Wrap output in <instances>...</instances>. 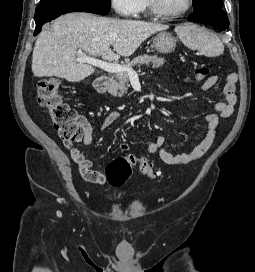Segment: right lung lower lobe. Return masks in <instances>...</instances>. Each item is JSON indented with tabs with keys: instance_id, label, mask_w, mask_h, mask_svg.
<instances>
[{
	"instance_id": "right-lung-lower-lobe-1",
	"label": "right lung lower lobe",
	"mask_w": 255,
	"mask_h": 272,
	"mask_svg": "<svg viewBox=\"0 0 255 272\" xmlns=\"http://www.w3.org/2000/svg\"><path fill=\"white\" fill-rule=\"evenodd\" d=\"M70 12L94 13L91 10L73 5H49V4L39 5L35 11L36 29L34 35H37L41 31V27L44 25V23L50 22L51 20L59 17L60 15Z\"/></svg>"
}]
</instances>
